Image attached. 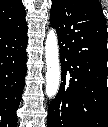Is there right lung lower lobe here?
Returning <instances> with one entry per match:
<instances>
[{
	"label": "right lung lower lobe",
	"mask_w": 108,
	"mask_h": 127,
	"mask_svg": "<svg viewBox=\"0 0 108 127\" xmlns=\"http://www.w3.org/2000/svg\"><path fill=\"white\" fill-rule=\"evenodd\" d=\"M27 23L0 28V127H17L26 75Z\"/></svg>",
	"instance_id": "1"
}]
</instances>
